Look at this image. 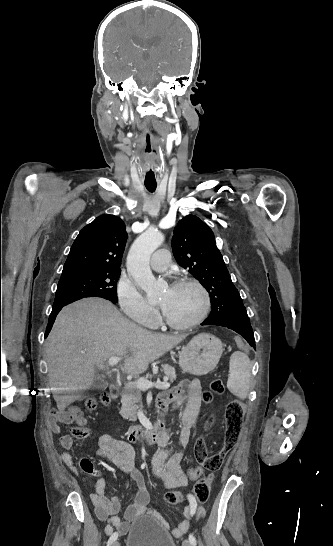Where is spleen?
I'll list each match as a JSON object with an SVG mask.
<instances>
[{"label":"spleen","mask_w":333,"mask_h":546,"mask_svg":"<svg viewBox=\"0 0 333 546\" xmlns=\"http://www.w3.org/2000/svg\"><path fill=\"white\" fill-rule=\"evenodd\" d=\"M251 365L248 356L240 351L234 352L229 362L227 387L240 399H246L250 390Z\"/></svg>","instance_id":"1"}]
</instances>
